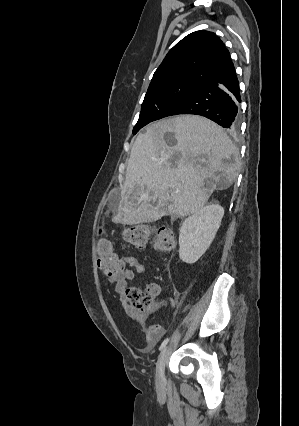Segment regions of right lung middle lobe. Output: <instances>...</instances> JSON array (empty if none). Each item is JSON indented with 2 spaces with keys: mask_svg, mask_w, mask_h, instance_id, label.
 <instances>
[{
  "mask_svg": "<svg viewBox=\"0 0 299 426\" xmlns=\"http://www.w3.org/2000/svg\"><path fill=\"white\" fill-rule=\"evenodd\" d=\"M197 87L189 83L174 82L148 88L141 106L139 120L133 129V134H136L148 123L158 120L167 108Z\"/></svg>",
  "mask_w": 299,
  "mask_h": 426,
  "instance_id": "obj_1",
  "label": "right lung middle lobe"
}]
</instances>
